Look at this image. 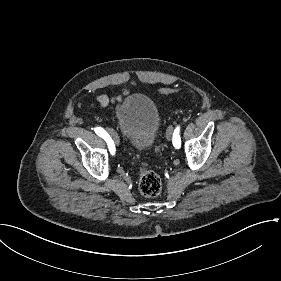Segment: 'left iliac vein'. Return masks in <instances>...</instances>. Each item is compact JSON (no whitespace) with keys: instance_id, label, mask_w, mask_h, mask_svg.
<instances>
[{"instance_id":"left-iliac-vein-1","label":"left iliac vein","mask_w":281,"mask_h":281,"mask_svg":"<svg viewBox=\"0 0 281 281\" xmlns=\"http://www.w3.org/2000/svg\"><path fill=\"white\" fill-rule=\"evenodd\" d=\"M166 137L168 140H171L173 138V127L169 126L166 132Z\"/></svg>"}]
</instances>
